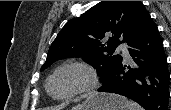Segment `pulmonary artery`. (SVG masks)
<instances>
[{
	"mask_svg": "<svg viewBox=\"0 0 171 110\" xmlns=\"http://www.w3.org/2000/svg\"><path fill=\"white\" fill-rule=\"evenodd\" d=\"M117 51L120 52L125 59H127V60L130 59V55L125 46H123V45L119 46L117 48Z\"/></svg>",
	"mask_w": 171,
	"mask_h": 110,
	"instance_id": "pulmonary-artery-1",
	"label": "pulmonary artery"
}]
</instances>
